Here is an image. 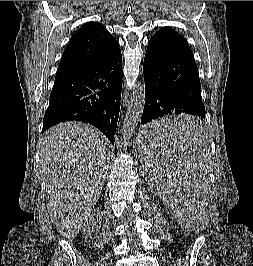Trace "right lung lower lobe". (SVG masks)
I'll use <instances>...</instances> for the list:
<instances>
[{
    "mask_svg": "<svg viewBox=\"0 0 253 266\" xmlns=\"http://www.w3.org/2000/svg\"><path fill=\"white\" fill-rule=\"evenodd\" d=\"M122 90V55L55 80L42 133L70 120L97 127L114 145Z\"/></svg>",
    "mask_w": 253,
    "mask_h": 266,
    "instance_id": "right-lung-lower-lobe-1",
    "label": "right lung lower lobe"
}]
</instances>
